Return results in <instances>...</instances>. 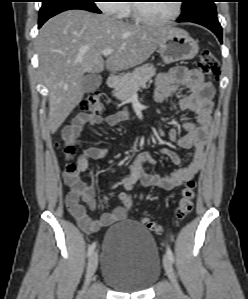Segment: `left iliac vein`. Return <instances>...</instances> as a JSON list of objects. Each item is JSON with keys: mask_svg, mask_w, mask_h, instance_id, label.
Here are the masks:
<instances>
[{"mask_svg": "<svg viewBox=\"0 0 248 299\" xmlns=\"http://www.w3.org/2000/svg\"><path fill=\"white\" fill-rule=\"evenodd\" d=\"M163 263H164V268H165V271L167 273V276H168L169 280L171 281L175 292L178 295H180L181 294V290H180V287H179V285L177 283L172 263H171V261H170V259H169V257H168L167 254L164 255Z\"/></svg>", "mask_w": 248, "mask_h": 299, "instance_id": "1", "label": "left iliac vein"}]
</instances>
